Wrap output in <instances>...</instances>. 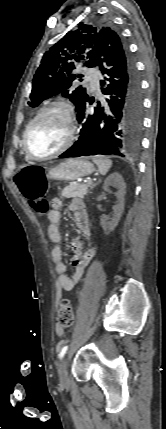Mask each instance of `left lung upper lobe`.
Listing matches in <instances>:
<instances>
[{"label":"left lung upper lobe","instance_id":"5c2ea615","mask_svg":"<svg viewBox=\"0 0 166 429\" xmlns=\"http://www.w3.org/2000/svg\"><path fill=\"white\" fill-rule=\"evenodd\" d=\"M114 36L119 37L110 27L79 23L76 30L69 31L44 54L33 78L28 104L36 107L43 100L61 93L74 103L79 112L88 95L82 87L70 90L72 82L82 77L72 73L75 64L85 60L87 67H94L100 47Z\"/></svg>","mask_w":166,"mask_h":429}]
</instances>
